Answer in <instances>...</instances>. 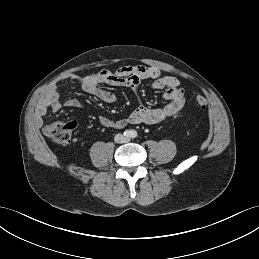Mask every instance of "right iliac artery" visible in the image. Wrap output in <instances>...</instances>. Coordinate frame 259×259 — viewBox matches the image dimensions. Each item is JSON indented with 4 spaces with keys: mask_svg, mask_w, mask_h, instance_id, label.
Listing matches in <instances>:
<instances>
[{
    "mask_svg": "<svg viewBox=\"0 0 259 259\" xmlns=\"http://www.w3.org/2000/svg\"><path fill=\"white\" fill-rule=\"evenodd\" d=\"M124 136H125V137H130V136H131V132L128 131V130H126V131L124 132Z\"/></svg>",
    "mask_w": 259,
    "mask_h": 259,
    "instance_id": "obj_1",
    "label": "right iliac artery"
}]
</instances>
